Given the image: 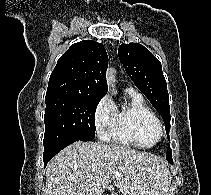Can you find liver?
<instances>
[{
	"instance_id": "6515ba94",
	"label": "liver",
	"mask_w": 211,
	"mask_h": 195,
	"mask_svg": "<svg viewBox=\"0 0 211 195\" xmlns=\"http://www.w3.org/2000/svg\"><path fill=\"white\" fill-rule=\"evenodd\" d=\"M113 178L124 195H170L171 177L163 159L121 145L82 141L48 163L46 195H104L114 190Z\"/></svg>"
}]
</instances>
